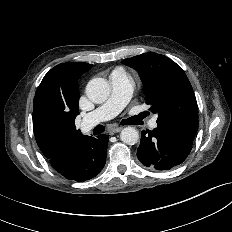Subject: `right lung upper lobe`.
<instances>
[{
  "label": "right lung upper lobe",
  "instance_id": "cb5924a9",
  "mask_svg": "<svg viewBox=\"0 0 232 232\" xmlns=\"http://www.w3.org/2000/svg\"><path fill=\"white\" fill-rule=\"evenodd\" d=\"M93 65L82 62L61 63L42 79L34 97L33 127L38 146L55 169H60L66 160L72 143L84 136L75 126L78 113L81 75ZM48 110H60L65 122L58 129L50 130L49 122L43 118Z\"/></svg>",
  "mask_w": 232,
  "mask_h": 232
}]
</instances>
